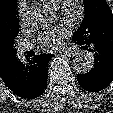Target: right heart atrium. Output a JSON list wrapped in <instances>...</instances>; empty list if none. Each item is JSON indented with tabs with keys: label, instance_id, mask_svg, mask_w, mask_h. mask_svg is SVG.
<instances>
[{
	"label": "right heart atrium",
	"instance_id": "right-heart-atrium-1",
	"mask_svg": "<svg viewBox=\"0 0 113 113\" xmlns=\"http://www.w3.org/2000/svg\"><path fill=\"white\" fill-rule=\"evenodd\" d=\"M17 19L21 25H24L27 19V3L26 0H20L17 6Z\"/></svg>",
	"mask_w": 113,
	"mask_h": 113
}]
</instances>
